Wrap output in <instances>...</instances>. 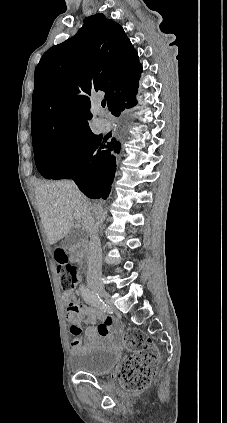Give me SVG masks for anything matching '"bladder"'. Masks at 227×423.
Instances as JSON below:
<instances>
[{
	"label": "bladder",
	"instance_id": "1",
	"mask_svg": "<svg viewBox=\"0 0 227 423\" xmlns=\"http://www.w3.org/2000/svg\"><path fill=\"white\" fill-rule=\"evenodd\" d=\"M119 361L120 355L117 350L88 349L72 358L71 369L78 373L100 377L111 374Z\"/></svg>",
	"mask_w": 227,
	"mask_h": 423
}]
</instances>
